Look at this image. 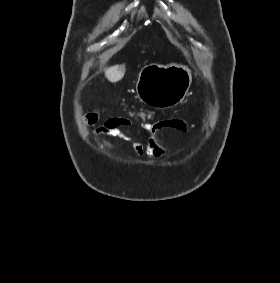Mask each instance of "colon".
I'll return each mask as SVG.
<instances>
[{"instance_id": "colon-1", "label": "colon", "mask_w": 280, "mask_h": 283, "mask_svg": "<svg viewBox=\"0 0 280 283\" xmlns=\"http://www.w3.org/2000/svg\"><path fill=\"white\" fill-rule=\"evenodd\" d=\"M127 112L130 113V115H129L130 119H135L136 116H140V117L136 118L137 122H145L146 116L148 115L147 111H136V112H134L132 108H128Z\"/></svg>"}]
</instances>
